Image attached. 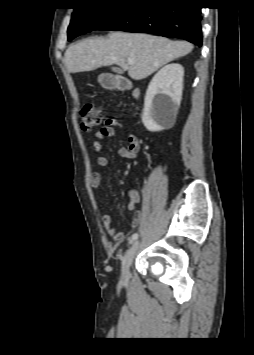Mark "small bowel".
I'll list each match as a JSON object with an SVG mask.
<instances>
[{
    "instance_id": "1",
    "label": "small bowel",
    "mask_w": 254,
    "mask_h": 355,
    "mask_svg": "<svg viewBox=\"0 0 254 355\" xmlns=\"http://www.w3.org/2000/svg\"><path fill=\"white\" fill-rule=\"evenodd\" d=\"M123 125L116 119H108L105 122V125L98 130L94 135V140L92 142V148L95 152L100 153L103 149L102 141L111 138L115 135L116 129L121 128ZM127 146L120 147L118 149V154L126 159H135L137 152L139 150V140L133 135L129 134L127 136ZM107 164V159L103 156H100L96 159V167L103 168ZM101 174L99 171L92 172L90 176V184L93 188H98L101 185ZM129 202L127 204V209L129 211H134L136 204L140 201V194L136 185H132L128 191ZM142 220V213L140 211H135L133 220L130 224L129 230L133 231L138 228ZM102 223L105 230L111 235V237L116 242H122L126 234L122 231H119L112 219V217L104 213L102 215Z\"/></svg>"
}]
</instances>
